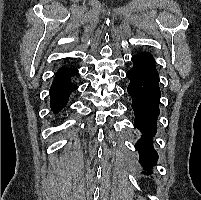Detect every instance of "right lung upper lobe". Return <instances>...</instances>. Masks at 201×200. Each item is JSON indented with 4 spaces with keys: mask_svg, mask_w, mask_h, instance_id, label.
Masks as SVG:
<instances>
[{
    "mask_svg": "<svg viewBox=\"0 0 201 200\" xmlns=\"http://www.w3.org/2000/svg\"><path fill=\"white\" fill-rule=\"evenodd\" d=\"M68 69L66 66H63L62 68H60L58 71H62V70H66Z\"/></svg>",
    "mask_w": 201,
    "mask_h": 200,
    "instance_id": "right-lung-upper-lobe-1",
    "label": "right lung upper lobe"
}]
</instances>
